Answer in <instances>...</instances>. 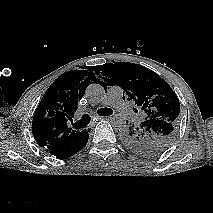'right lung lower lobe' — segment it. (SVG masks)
Masks as SVG:
<instances>
[{
	"instance_id": "1",
	"label": "right lung lower lobe",
	"mask_w": 213,
	"mask_h": 213,
	"mask_svg": "<svg viewBox=\"0 0 213 213\" xmlns=\"http://www.w3.org/2000/svg\"><path fill=\"white\" fill-rule=\"evenodd\" d=\"M88 137V132L83 130L80 135L72 142L68 143L65 146L49 150L48 152L58 159H65L71 157L86 146L88 142Z\"/></svg>"
}]
</instances>
